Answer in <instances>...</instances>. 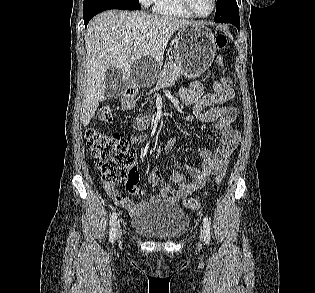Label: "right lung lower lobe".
Returning a JSON list of instances; mask_svg holds the SVG:
<instances>
[{
  "label": "right lung lower lobe",
  "mask_w": 315,
  "mask_h": 293,
  "mask_svg": "<svg viewBox=\"0 0 315 293\" xmlns=\"http://www.w3.org/2000/svg\"><path fill=\"white\" fill-rule=\"evenodd\" d=\"M109 9L137 10L140 9V4L129 3L123 0H84L83 18L85 26H87L93 16Z\"/></svg>",
  "instance_id": "right-lung-lower-lobe-1"
}]
</instances>
